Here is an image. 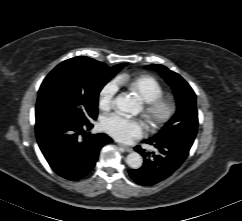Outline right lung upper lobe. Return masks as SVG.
<instances>
[{"instance_id":"right-lung-upper-lobe-1","label":"right lung upper lobe","mask_w":242,"mask_h":221,"mask_svg":"<svg viewBox=\"0 0 242 221\" xmlns=\"http://www.w3.org/2000/svg\"><path fill=\"white\" fill-rule=\"evenodd\" d=\"M85 58H87V57L78 56V57L71 58L68 61H79V60H84Z\"/></svg>"}]
</instances>
